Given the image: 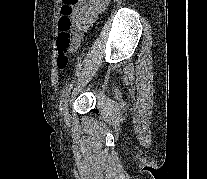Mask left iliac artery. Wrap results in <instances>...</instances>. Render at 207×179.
I'll list each match as a JSON object with an SVG mask.
<instances>
[{"label": "left iliac artery", "instance_id": "obj_1", "mask_svg": "<svg viewBox=\"0 0 207 179\" xmlns=\"http://www.w3.org/2000/svg\"><path fill=\"white\" fill-rule=\"evenodd\" d=\"M72 85L73 84H69L65 87V89L62 92V96H61V100H60V110L62 111L63 106L66 104L67 102V96L68 93L70 92V90L72 89Z\"/></svg>", "mask_w": 207, "mask_h": 179}]
</instances>
